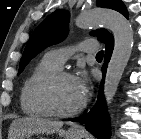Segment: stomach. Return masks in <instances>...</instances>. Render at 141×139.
I'll return each instance as SVG.
<instances>
[{"label": "stomach", "instance_id": "0dacf381", "mask_svg": "<svg viewBox=\"0 0 141 139\" xmlns=\"http://www.w3.org/2000/svg\"><path fill=\"white\" fill-rule=\"evenodd\" d=\"M27 139H31V138H27ZM64 139H82V136H81L80 133H77V132H73L71 130H68L64 134Z\"/></svg>", "mask_w": 141, "mask_h": 139}]
</instances>
